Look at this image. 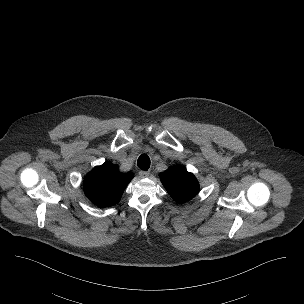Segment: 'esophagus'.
<instances>
[{
	"label": "esophagus",
	"instance_id": "1",
	"mask_svg": "<svg viewBox=\"0 0 304 304\" xmlns=\"http://www.w3.org/2000/svg\"><path fill=\"white\" fill-rule=\"evenodd\" d=\"M139 175L141 178H146L150 175V172L149 171H140Z\"/></svg>",
	"mask_w": 304,
	"mask_h": 304
}]
</instances>
